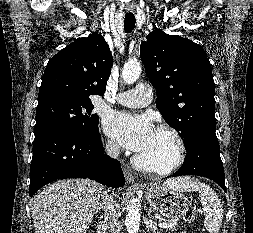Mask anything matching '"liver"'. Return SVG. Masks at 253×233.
I'll return each instance as SVG.
<instances>
[{
	"label": "liver",
	"instance_id": "1",
	"mask_svg": "<svg viewBox=\"0 0 253 233\" xmlns=\"http://www.w3.org/2000/svg\"><path fill=\"white\" fill-rule=\"evenodd\" d=\"M103 187L89 179L57 181L32 199L35 233H86Z\"/></svg>",
	"mask_w": 253,
	"mask_h": 233
}]
</instances>
